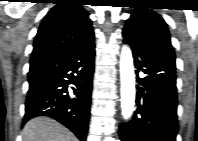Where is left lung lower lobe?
Returning <instances> with one entry per match:
<instances>
[{
	"instance_id": "0a47b994",
	"label": "left lung lower lobe",
	"mask_w": 198,
	"mask_h": 141,
	"mask_svg": "<svg viewBox=\"0 0 198 141\" xmlns=\"http://www.w3.org/2000/svg\"><path fill=\"white\" fill-rule=\"evenodd\" d=\"M137 74L136 110L119 127L121 141H176L178 133L175 54L169 46L147 47L127 38ZM139 72L146 76L139 78Z\"/></svg>"
}]
</instances>
